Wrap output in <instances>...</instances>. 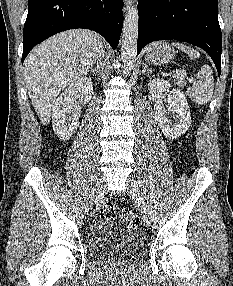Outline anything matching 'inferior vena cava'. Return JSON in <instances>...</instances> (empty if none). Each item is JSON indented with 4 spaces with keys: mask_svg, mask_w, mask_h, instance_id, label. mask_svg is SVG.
Masks as SVG:
<instances>
[{
    "mask_svg": "<svg viewBox=\"0 0 233 286\" xmlns=\"http://www.w3.org/2000/svg\"><path fill=\"white\" fill-rule=\"evenodd\" d=\"M104 54H103V47L100 46L99 47V51H98V55H97V59L99 60L100 57H102Z\"/></svg>",
    "mask_w": 233,
    "mask_h": 286,
    "instance_id": "602c4592",
    "label": "inferior vena cava"
}]
</instances>
